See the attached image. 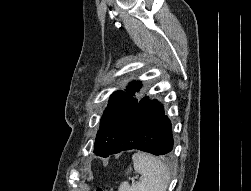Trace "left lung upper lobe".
<instances>
[{"label": "left lung upper lobe", "mask_w": 251, "mask_h": 191, "mask_svg": "<svg viewBox=\"0 0 251 191\" xmlns=\"http://www.w3.org/2000/svg\"><path fill=\"white\" fill-rule=\"evenodd\" d=\"M142 84L134 81L125 91H115L109 98V104L101 118L100 128L94 144V153L107 157L116 137L124 127L133 109L140 101L135 93Z\"/></svg>", "instance_id": "1"}]
</instances>
